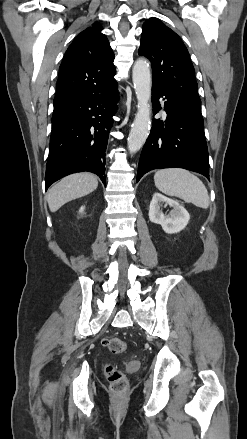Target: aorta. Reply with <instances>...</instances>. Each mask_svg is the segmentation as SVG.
Returning a JSON list of instances; mask_svg holds the SVG:
<instances>
[{
	"mask_svg": "<svg viewBox=\"0 0 247 439\" xmlns=\"http://www.w3.org/2000/svg\"><path fill=\"white\" fill-rule=\"evenodd\" d=\"M132 79L138 100V111L129 133L127 145L130 153H136L144 145L151 127L150 99L152 78L149 63L146 59L135 61Z\"/></svg>",
	"mask_w": 247,
	"mask_h": 439,
	"instance_id": "762f6f07",
	"label": "aorta"
}]
</instances>
